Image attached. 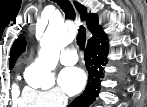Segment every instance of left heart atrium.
<instances>
[{
  "label": "left heart atrium",
  "instance_id": "39dd6f15",
  "mask_svg": "<svg viewBox=\"0 0 147 107\" xmlns=\"http://www.w3.org/2000/svg\"><path fill=\"white\" fill-rule=\"evenodd\" d=\"M86 75L78 67H70L62 70L59 76L61 89L68 95L78 94L85 86Z\"/></svg>",
  "mask_w": 147,
  "mask_h": 107
}]
</instances>
